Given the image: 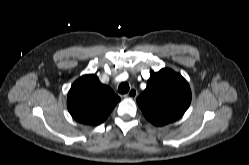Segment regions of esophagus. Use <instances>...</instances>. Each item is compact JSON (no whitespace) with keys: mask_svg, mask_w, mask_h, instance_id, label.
Returning <instances> with one entry per match:
<instances>
[{"mask_svg":"<svg viewBox=\"0 0 249 165\" xmlns=\"http://www.w3.org/2000/svg\"><path fill=\"white\" fill-rule=\"evenodd\" d=\"M138 95V92L135 88L130 89V91L126 94V97L129 98H136Z\"/></svg>","mask_w":249,"mask_h":165,"instance_id":"1","label":"esophagus"}]
</instances>
